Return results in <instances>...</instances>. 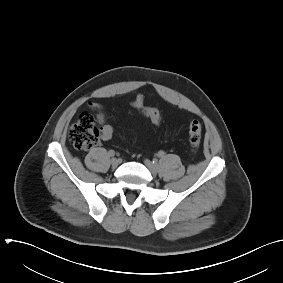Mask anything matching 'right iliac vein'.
<instances>
[{"label": "right iliac vein", "mask_w": 283, "mask_h": 283, "mask_svg": "<svg viewBox=\"0 0 283 283\" xmlns=\"http://www.w3.org/2000/svg\"><path fill=\"white\" fill-rule=\"evenodd\" d=\"M119 164H120V162H119V160L117 158L111 159V166H112V168H117Z\"/></svg>", "instance_id": "1"}]
</instances>
